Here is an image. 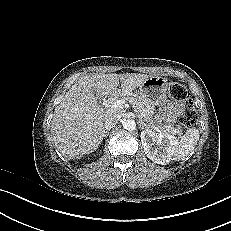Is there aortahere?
I'll return each instance as SVG.
<instances>
[{
    "mask_svg": "<svg viewBox=\"0 0 231 231\" xmlns=\"http://www.w3.org/2000/svg\"><path fill=\"white\" fill-rule=\"evenodd\" d=\"M123 128L128 131H133L136 129V122L132 119H127L123 121Z\"/></svg>",
    "mask_w": 231,
    "mask_h": 231,
    "instance_id": "aorta-1",
    "label": "aorta"
}]
</instances>
